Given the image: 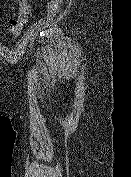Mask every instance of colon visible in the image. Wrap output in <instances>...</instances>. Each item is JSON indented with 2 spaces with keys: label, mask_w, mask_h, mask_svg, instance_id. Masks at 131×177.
Here are the masks:
<instances>
[{
  "label": "colon",
  "mask_w": 131,
  "mask_h": 177,
  "mask_svg": "<svg viewBox=\"0 0 131 177\" xmlns=\"http://www.w3.org/2000/svg\"><path fill=\"white\" fill-rule=\"evenodd\" d=\"M18 5V11L10 18L9 33L12 38H16L21 34L30 17V1L18 0Z\"/></svg>",
  "instance_id": "obj_1"
}]
</instances>
